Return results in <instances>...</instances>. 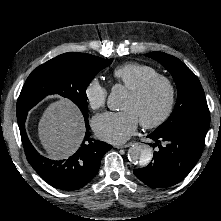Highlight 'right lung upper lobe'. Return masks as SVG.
<instances>
[{"mask_svg":"<svg viewBox=\"0 0 221 221\" xmlns=\"http://www.w3.org/2000/svg\"><path fill=\"white\" fill-rule=\"evenodd\" d=\"M72 53H73V52H72ZM73 54H77V55H81V56L85 55V54H83V53H73Z\"/></svg>","mask_w":221,"mask_h":221,"instance_id":"obj_1","label":"right lung upper lobe"}]
</instances>
